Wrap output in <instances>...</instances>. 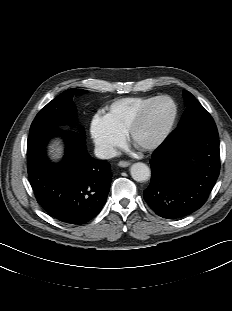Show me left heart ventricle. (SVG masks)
Masks as SVG:
<instances>
[{
  "mask_svg": "<svg viewBox=\"0 0 232 311\" xmlns=\"http://www.w3.org/2000/svg\"><path fill=\"white\" fill-rule=\"evenodd\" d=\"M172 115V106L167 101L155 104L147 113L141 125L136 129L132 144L142 147L153 141L163 130Z\"/></svg>",
  "mask_w": 232,
  "mask_h": 311,
  "instance_id": "1",
  "label": "left heart ventricle"
}]
</instances>
